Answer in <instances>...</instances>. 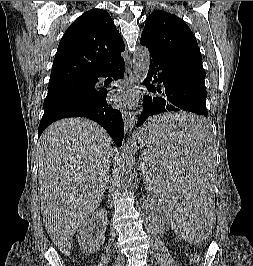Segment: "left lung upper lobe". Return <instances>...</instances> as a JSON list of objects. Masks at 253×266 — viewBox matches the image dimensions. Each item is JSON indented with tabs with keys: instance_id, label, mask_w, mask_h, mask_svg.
I'll return each mask as SVG.
<instances>
[{
	"instance_id": "5c2ea615",
	"label": "left lung upper lobe",
	"mask_w": 253,
	"mask_h": 266,
	"mask_svg": "<svg viewBox=\"0 0 253 266\" xmlns=\"http://www.w3.org/2000/svg\"><path fill=\"white\" fill-rule=\"evenodd\" d=\"M140 43L158 51L185 52L202 60L197 41L186 23L161 10L147 17Z\"/></svg>"
}]
</instances>
